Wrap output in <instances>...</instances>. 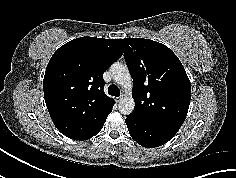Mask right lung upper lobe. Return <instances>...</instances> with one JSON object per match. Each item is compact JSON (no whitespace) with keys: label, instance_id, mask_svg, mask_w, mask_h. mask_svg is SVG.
<instances>
[{"label":"right lung upper lobe","instance_id":"obj_1","mask_svg":"<svg viewBox=\"0 0 236 178\" xmlns=\"http://www.w3.org/2000/svg\"><path fill=\"white\" fill-rule=\"evenodd\" d=\"M121 39L81 37L51 57L43 80L46 106L66 137L87 140L100 132L114 100L103 91V73L123 54Z\"/></svg>","mask_w":236,"mask_h":178}]
</instances>
